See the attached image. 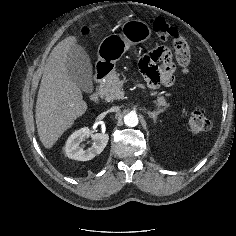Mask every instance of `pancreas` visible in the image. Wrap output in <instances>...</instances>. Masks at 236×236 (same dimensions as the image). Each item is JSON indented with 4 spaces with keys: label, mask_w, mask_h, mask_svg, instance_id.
Masks as SVG:
<instances>
[{
    "label": "pancreas",
    "mask_w": 236,
    "mask_h": 236,
    "mask_svg": "<svg viewBox=\"0 0 236 236\" xmlns=\"http://www.w3.org/2000/svg\"><path fill=\"white\" fill-rule=\"evenodd\" d=\"M99 92L106 101H113L122 97V82L116 71L110 72L103 83H101ZM162 92L150 91L151 96L158 95L154 101L158 106H162V111L166 110L170 105L166 102V98L162 96Z\"/></svg>",
    "instance_id": "obj_1"
}]
</instances>
